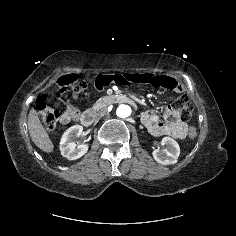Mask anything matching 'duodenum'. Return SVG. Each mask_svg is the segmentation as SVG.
Listing matches in <instances>:
<instances>
[{
    "mask_svg": "<svg viewBox=\"0 0 236 236\" xmlns=\"http://www.w3.org/2000/svg\"><path fill=\"white\" fill-rule=\"evenodd\" d=\"M114 100L119 103L134 105V100L126 95H117L114 97ZM79 118L82 125L89 127L94 123L95 113L93 111H87L82 113Z\"/></svg>",
    "mask_w": 236,
    "mask_h": 236,
    "instance_id": "410a0bca",
    "label": "duodenum"
}]
</instances>
